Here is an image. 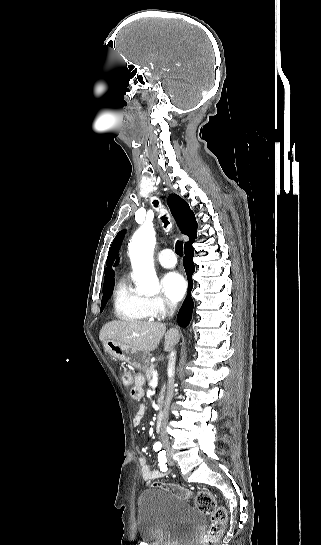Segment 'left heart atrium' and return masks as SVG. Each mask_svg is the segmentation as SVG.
<instances>
[{
  "label": "left heart atrium",
  "mask_w": 321,
  "mask_h": 545,
  "mask_svg": "<svg viewBox=\"0 0 321 545\" xmlns=\"http://www.w3.org/2000/svg\"><path fill=\"white\" fill-rule=\"evenodd\" d=\"M165 297L170 301H178L186 291V281L183 276L176 272L166 273L161 280Z\"/></svg>",
  "instance_id": "left-heart-atrium-1"
}]
</instances>
